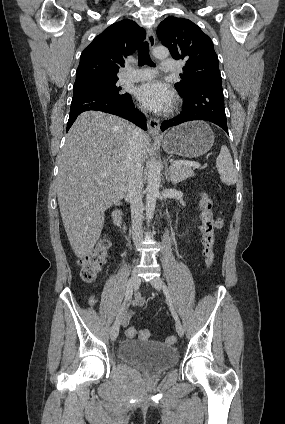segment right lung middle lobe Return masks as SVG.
I'll use <instances>...</instances> for the list:
<instances>
[{"mask_svg":"<svg viewBox=\"0 0 285 424\" xmlns=\"http://www.w3.org/2000/svg\"><path fill=\"white\" fill-rule=\"evenodd\" d=\"M118 80L110 81H89L74 84L73 86V95L76 94H86V93H95L106 95L115 98H125L129 94L120 92L121 88L116 87V82Z\"/></svg>","mask_w":285,"mask_h":424,"instance_id":"1","label":"right lung middle lobe"}]
</instances>
